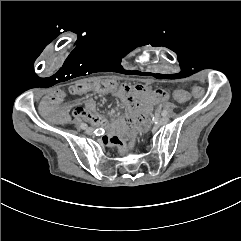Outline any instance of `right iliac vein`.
Returning a JSON list of instances; mask_svg holds the SVG:
<instances>
[{"label":"right iliac vein","instance_id":"63e3f726","mask_svg":"<svg viewBox=\"0 0 241 241\" xmlns=\"http://www.w3.org/2000/svg\"><path fill=\"white\" fill-rule=\"evenodd\" d=\"M93 132H94V129H93V128H91V127H87V128H86V133H87V134L91 135V134H93Z\"/></svg>","mask_w":241,"mask_h":241}]
</instances>
